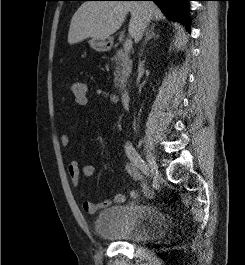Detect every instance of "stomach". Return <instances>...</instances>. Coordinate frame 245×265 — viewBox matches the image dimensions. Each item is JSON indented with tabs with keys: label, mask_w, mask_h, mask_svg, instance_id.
Instances as JSON below:
<instances>
[{
	"label": "stomach",
	"mask_w": 245,
	"mask_h": 265,
	"mask_svg": "<svg viewBox=\"0 0 245 265\" xmlns=\"http://www.w3.org/2000/svg\"><path fill=\"white\" fill-rule=\"evenodd\" d=\"M89 44L93 50L97 52H105V51H108L111 47V39L92 38L89 41Z\"/></svg>",
	"instance_id": "1"
}]
</instances>
